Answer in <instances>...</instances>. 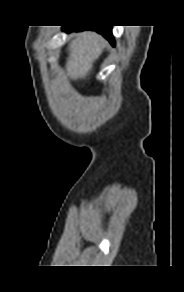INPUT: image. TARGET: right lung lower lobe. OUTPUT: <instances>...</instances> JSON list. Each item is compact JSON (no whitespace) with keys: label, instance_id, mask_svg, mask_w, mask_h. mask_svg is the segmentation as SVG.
<instances>
[{"label":"right lung lower lobe","instance_id":"98d812e1","mask_svg":"<svg viewBox=\"0 0 184 292\" xmlns=\"http://www.w3.org/2000/svg\"><path fill=\"white\" fill-rule=\"evenodd\" d=\"M63 30H66L68 32L71 31H83V30H95L102 34L106 39H108L113 45H114V38L112 35V29L111 26H98V27H92V26H63Z\"/></svg>","mask_w":184,"mask_h":292}]
</instances>
